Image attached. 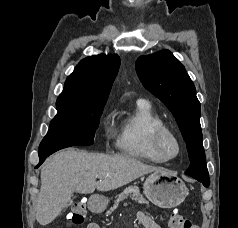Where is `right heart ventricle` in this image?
<instances>
[{"label": "right heart ventricle", "instance_id": "e07e8e85", "mask_svg": "<svg viewBox=\"0 0 238 228\" xmlns=\"http://www.w3.org/2000/svg\"><path fill=\"white\" fill-rule=\"evenodd\" d=\"M163 124L162 117L150 102L138 100L133 111L121 121L117 138L118 149L132 157L153 163H163L164 161L151 146L154 130Z\"/></svg>", "mask_w": 238, "mask_h": 228}]
</instances>
